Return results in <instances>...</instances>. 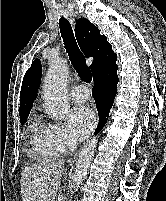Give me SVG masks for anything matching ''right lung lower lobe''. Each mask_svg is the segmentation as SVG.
<instances>
[{"label":"right lung lower lobe","mask_w":166,"mask_h":201,"mask_svg":"<svg viewBox=\"0 0 166 201\" xmlns=\"http://www.w3.org/2000/svg\"><path fill=\"white\" fill-rule=\"evenodd\" d=\"M93 78V96L99 113V124L95 131V134H97L107 122L116 95V85L118 83L116 63H107Z\"/></svg>","instance_id":"right-lung-lower-lobe-1"}]
</instances>
